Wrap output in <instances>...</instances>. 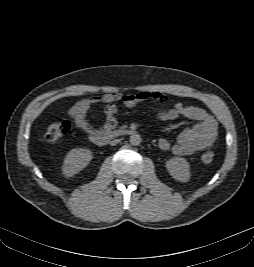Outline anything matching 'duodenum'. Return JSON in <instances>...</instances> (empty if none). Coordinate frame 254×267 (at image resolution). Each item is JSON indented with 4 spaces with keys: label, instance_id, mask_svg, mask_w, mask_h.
Here are the masks:
<instances>
[{
    "label": "duodenum",
    "instance_id": "obj_1",
    "mask_svg": "<svg viewBox=\"0 0 254 267\" xmlns=\"http://www.w3.org/2000/svg\"><path fill=\"white\" fill-rule=\"evenodd\" d=\"M133 133H134V130L132 129L106 130V131L98 132L92 135L91 141L98 146H104L113 138L131 135Z\"/></svg>",
    "mask_w": 254,
    "mask_h": 267
}]
</instances>
